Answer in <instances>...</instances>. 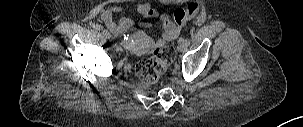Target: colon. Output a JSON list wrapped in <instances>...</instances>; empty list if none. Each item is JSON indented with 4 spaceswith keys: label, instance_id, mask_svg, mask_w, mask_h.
<instances>
[{
    "label": "colon",
    "instance_id": "5ec220e1",
    "mask_svg": "<svg viewBox=\"0 0 303 127\" xmlns=\"http://www.w3.org/2000/svg\"><path fill=\"white\" fill-rule=\"evenodd\" d=\"M200 11V6L196 3L188 5L184 9H178L174 13L175 22L182 26L186 21L192 19ZM175 58L174 48L164 41H158L153 55L140 60L136 67V75L147 84H154L164 73L167 67Z\"/></svg>",
    "mask_w": 303,
    "mask_h": 127
}]
</instances>
